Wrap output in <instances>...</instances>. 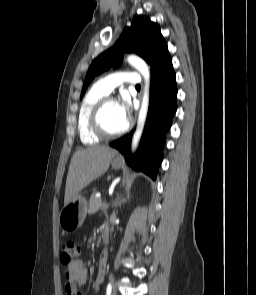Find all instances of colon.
I'll return each instance as SVG.
<instances>
[{
  "label": "colon",
  "mask_w": 256,
  "mask_h": 295,
  "mask_svg": "<svg viewBox=\"0 0 256 295\" xmlns=\"http://www.w3.org/2000/svg\"><path fill=\"white\" fill-rule=\"evenodd\" d=\"M80 255V249L74 240H65L62 243L61 262L64 265H70Z\"/></svg>",
  "instance_id": "colon-1"
}]
</instances>
